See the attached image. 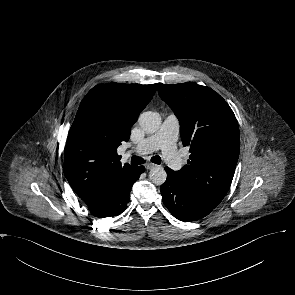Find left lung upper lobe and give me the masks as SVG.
<instances>
[{
    "label": "left lung upper lobe",
    "instance_id": "obj_1",
    "mask_svg": "<svg viewBox=\"0 0 295 295\" xmlns=\"http://www.w3.org/2000/svg\"><path fill=\"white\" fill-rule=\"evenodd\" d=\"M159 96L180 122L181 140L190 160L175 171L201 203L214 209L228 192L239 157L240 133L227 102L194 82L159 84Z\"/></svg>",
    "mask_w": 295,
    "mask_h": 295
}]
</instances>
